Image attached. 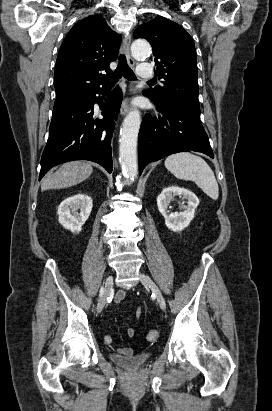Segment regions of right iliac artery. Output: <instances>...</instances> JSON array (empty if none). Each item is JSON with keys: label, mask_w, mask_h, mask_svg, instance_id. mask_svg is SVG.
I'll list each match as a JSON object with an SVG mask.
<instances>
[{"label": "right iliac artery", "mask_w": 272, "mask_h": 411, "mask_svg": "<svg viewBox=\"0 0 272 411\" xmlns=\"http://www.w3.org/2000/svg\"><path fill=\"white\" fill-rule=\"evenodd\" d=\"M103 292H104V288H103V287H101V289H100V296H102V295H103Z\"/></svg>", "instance_id": "82829eb1"}]
</instances>
